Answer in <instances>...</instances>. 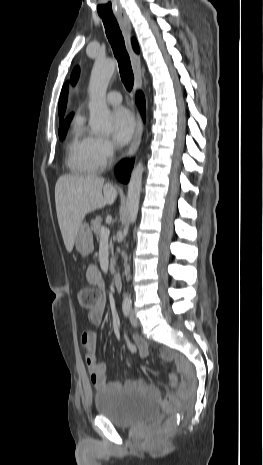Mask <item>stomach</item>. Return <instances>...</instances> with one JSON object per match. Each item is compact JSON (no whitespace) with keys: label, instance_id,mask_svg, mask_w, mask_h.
Segmentation results:
<instances>
[{"label":"stomach","instance_id":"1","mask_svg":"<svg viewBox=\"0 0 263 465\" xmlns=\"http://www.w3.org/2000/svg\"><path fill=\"white\" fill-rule=\"evenodd\" d=\"M76 250L82 256H88L94 250L93 235L87 223H82L75 237Z\"/></svg>","mask_w":263,"mask_h":465}]
</instances>
